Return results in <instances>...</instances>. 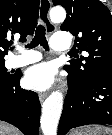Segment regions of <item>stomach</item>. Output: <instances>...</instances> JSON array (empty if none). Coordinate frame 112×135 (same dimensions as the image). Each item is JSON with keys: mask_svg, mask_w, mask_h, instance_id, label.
<instances>
[{"mask_svg": "<svg viewBox=\"0 0 112 135\" xmlns=\"http://www.w3.org/2000/svg\"><path fill=\"white\" fill-rule=\"evenodd\" d=\"M71 135H112V130L105 126L92 125L76 130Z\"/></svg>", "mask_w": 112, "mask_h": 135, "instance_id": "stomach-1", "label": "stomach"}]
</instances>
